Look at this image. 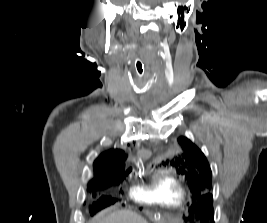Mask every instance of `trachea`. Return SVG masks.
<instances>
[{
	"instance_id": "obj_1",
	"label": "trachea",
	"mask_w": 267,
	"mask_h": 223,
	"mask_svg": "<svg viewBox=\"0 0 267 223\" xmlns=\"http://www.w3.org/2000/svg\"><path fill=\"white\" fill-rule=\"evenodd\" d=\"M138 72L141 74L143 72L142 65L138 67Z\"/></svg>"
}]
</instances>
